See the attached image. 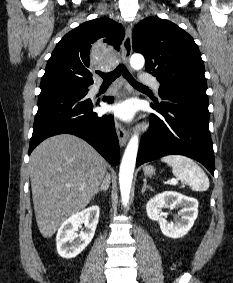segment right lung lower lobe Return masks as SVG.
<instances>
[{"label":"right lung lower lobe","instance_id":"98d812e1","mask_svg":"<svg viewBox=\"0 0 233 283\" xmlns=\"http://www.w3.org/2000/svg\"><path fill=\"white\" fill-rule=\"evenodd\" d=\"M86 93L48 90L40 93L29 154L44 139L63 133L76 135L92 145L109 163L119 160V142L112 116L92 112L95 104ZM103 101L113 102V97Z\"/></svg>","mask_w":233,"mask_h":283}]
</instances>
